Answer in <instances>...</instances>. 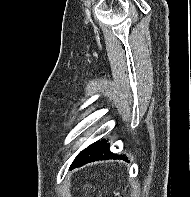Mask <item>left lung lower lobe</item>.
<instances>
[{"label": "left lung lower lobe", "instance_id": "obj_1", "mask_svg": "<svg viewBox=\"0 0 191 197\" xmlns=\"http://www.w3.org/2000/svg\"><path fill=\"white\" fill-rule=\"evenodd\" d=\"M107 142L108 140H101L89 145L78 154L69 169L72 170L76 167L84 165L87 162L105 159H121L127 161V157H125L124 155H116L110 152V144Z\"/></svg>", "mask_w": 191, "mask_h": 197}]
</instances>
